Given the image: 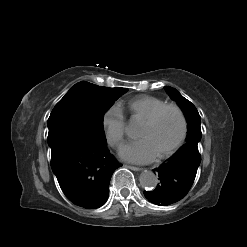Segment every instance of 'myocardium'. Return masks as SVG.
I'll use <instances>...</instances> for the list:
<instances>
[{
	"instance_id": "myocardium-1",
	"label": "myocardium",
	"mask_w": 247,
	"mask_h": 247,
	"mask_svg": "<svg viewBox=\"0 0 247 247\" xmlns=\"http://www.w3.org/2000/svg\"><path fill=\"white\" fill-rule=\"evenodd\" d=\"M168 110H172L178 115L180 119L181 130L176 141L167 150L157 155L159 159H165L171 156L182 145V143L184 142L187 136V131H188V123L185 113L176 104H165L162 107L158 108L152 115H150L146 120L142 122V125L145 126L154 125L161 117V115Z\"/></svg>"
}]
</instances>
